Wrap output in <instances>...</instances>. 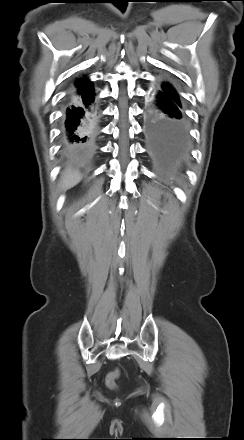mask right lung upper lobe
Masks as SVG:
<instances>
[{"label":"right lung upper lobe","mask_w":244,"mask_h":440,"mask_svg":"<svg viewBox=\"0 0 244 440\" xmlns=\"http://www.w3.org/2000/svg\"><path fill=\"white\" fill-rule=\"evenodd\" d=\"M93 92L91 82L88 79L83 78L75 81L71 94L79 98H88L93 95Z\"/></svg>","instance_id":"cb5924a9"}]
</instances>
